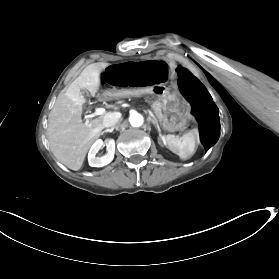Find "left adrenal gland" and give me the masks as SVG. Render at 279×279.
<instances>
[{"instance_id": "left-adrenal-gland-1", "label": "left adrenal gland", "mask_w": 279, "mask_h": 279, "mask_svg": "<svg viewBox=\"0 0 279 279\" xmlns=\"http://www.w3.org/2000/svg\"><path fill=\"white\" fill-rule=\"evenodd\" d=\"M149 121H150V122H153V123L155 124V126L157 127V129H158L159 133H161V130H160L159 124H158L156 121H154L151 117H149Z\"/></svg>"}]
</instances>
